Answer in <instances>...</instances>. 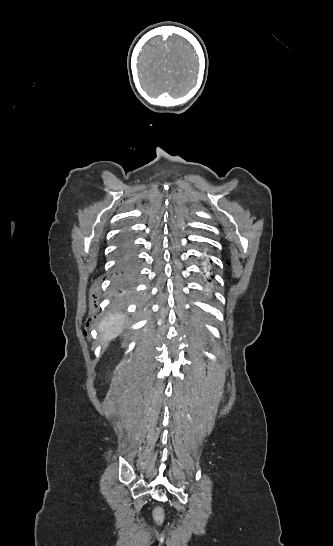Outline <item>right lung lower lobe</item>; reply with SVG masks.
I'll use <instances>...</instances> for the list:
<instances>
[{
    "instance_id": "right-lung-lower-lobe-1",
    "label": "right lung lower lobe",
    "mask_w": 333,
    "mask_h": 546,
    "mask_svg": "<svg viewBox=\"0 0 333 546\" xmlns=\"http://www.w3.org/2000/svg\"><path fill=\"white\" fill-rule=\"evenodd\" d=\"M129 242H124L117 249L114 285L120 295H126L131 290L135 277V252Z\"/></svg>"
}]
</instances>
